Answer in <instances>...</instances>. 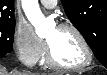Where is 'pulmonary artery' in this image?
Here are the masks:
<instances>
[{
	"mask_svg": "<svg viewBox=\"0 0 107 75\" xmlns=\"http://www.w3.org/2000/svg\"><path fill=\"white\" fill-rule=\"evenodd\" d=\"M40 2L44 7L49 9L54 8L57 4V0H41Z\"/></svg>",
	"mask_w": 107,
	"mask_h": 75,
	"instance_id": "obj_1",
	"label": "pulmonary artery"
}]
</instances>
